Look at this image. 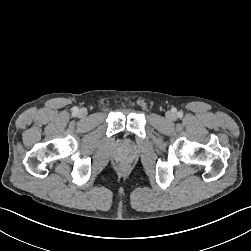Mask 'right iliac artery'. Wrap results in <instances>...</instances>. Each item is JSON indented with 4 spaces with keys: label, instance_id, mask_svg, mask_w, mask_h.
I'll list each match as a JSON object with an SVG mask.
<instances>
[{
    "label": "right iliac artery",
    "instance_id": "right-iliac-artery-1",
    "mask_svg": "<svg viewBox=\"0 0 251 251\" xmlns=\"http://www.w3.org/2000/svg\"><path fill=\"white\" fill-rule=\"evenodd\" d=\"M73 113H74V114H77V113H78V108H74V109H73Z\"/></svg>",
    "mask_w": 251,
    "mask_h": 251
}]
</instances>
